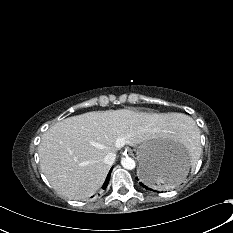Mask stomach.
<instances>
[{
    "label": "stomach",
    "mask_w": 233,
    "mask_h": 233,
    "mask_svg": "<svg viewBox=\"0 0 233 233\" xmlns=\"http://www.w3.org/2000/svg\"><path fill=\"white\" fill-rule=\"evenodd\" d=\"M137 155L138 174L153 187H168L189 171L190 162L186 153H181L178 146L168 140H145L139 144Z\"/></svg>",
    "instance_id": "0dacf381"
}]
</instances>
